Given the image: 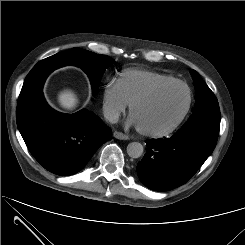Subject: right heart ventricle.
I'll return each mask as SVG.
<instances>
[{
	"mask_svg": "<svg viewBox=\"0 0 245 245\" xmlns=\"http://www.w3.org/2000/svg\"><path fill=\"white\" fill-rule=\"evenodd\" d=\"M172 79L169 75L155 71L128 70L121 74L117 82L123 97L130 104L154 86Z\"/></svg>",
	"mask_w": 245,
	"mask_h": 245,
	"instance_id": "1",
	"label": "right heart ventricle"
}]
</instances>
